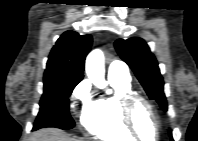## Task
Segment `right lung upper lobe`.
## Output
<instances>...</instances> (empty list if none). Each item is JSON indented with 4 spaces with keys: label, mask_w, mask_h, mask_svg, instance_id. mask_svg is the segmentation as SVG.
<instances>
[{
    "label": "right lung upper lobe",
    "mask_w": 198,
    "mask_h": 141,
    "mask_svg": "<svg viewBox=\"0 0 198 141\" xmlns=\"http://www.w3.org/2000/svg\"><path fill=\"white\" fill-rule=\"evenodd\" d=\"M91 35L66 31L57 40L47 61L44 79L83 78L85 57L91 49Z\"/></svg>",
    "instance_id": "cb5924a9"
}]
</instances>
